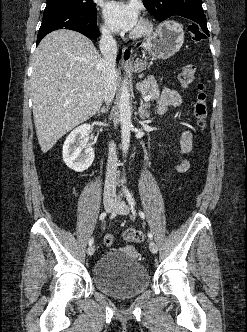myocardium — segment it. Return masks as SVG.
I'll return each instance as SVG.
<instances>
[{
	"mask_svg": "<svg viewBox=\"0 0 247 332\" xmlns=\"http://www.w3.org/2000/svg\"><path fill=\"white\" fill-rule=\"evenodd\" d=\"M152 29V23L147 19H143L132 36L134 39L144 38L152 32Z\"/></svg>",
	"mask_w": 247,
	"mask_h": 332,
	"instance_id": "myocardium-1",
	"label": "myocardium"
}]
</instances>
